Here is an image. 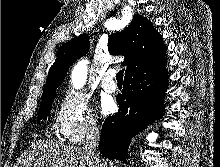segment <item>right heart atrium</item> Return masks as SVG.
I'll use <instances>...</instances> for the list:
<instances>
[{
	"label": "right heart atrium",
	"mask_w": 220,
	"mask_h": 167,
	"mask_svg": "<svg viewBox=\"0 0 220 167\" xmlns=\"http://www.w3.org/2000/svg\"><path fill=\"white\" fill-rule=\"evenodd\" d=\"M55 126L61 137L72 144H79L100 130L88 99L77 91H68L61 97Z\"/></svg>",
	"instance_id": "d8ad5b80"
}]
</instances>
